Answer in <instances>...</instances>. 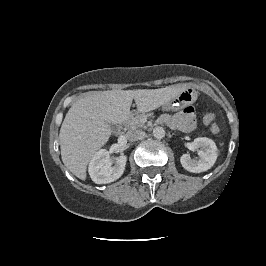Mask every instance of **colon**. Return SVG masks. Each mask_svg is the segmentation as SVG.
<instances>
[{
    "mask_svg": "<svg viewBox=\"0 0 266 266\" xmlns=\"http://www.w3.org/2000/svg\"><path fill=\"white\" fill-rule=\"evenodd\" d=\"M214 115L213 114H206L203 117V122L207 125H211L210 129L213 133H218L219 132V126L214 123Z\"/></svg>",
    "mask_w": 266,
    "mask_h": 266,
    "instance_id": "1",
    "label": "colon"
}]
</instances>
